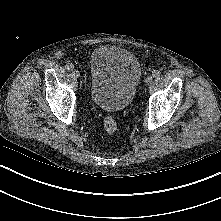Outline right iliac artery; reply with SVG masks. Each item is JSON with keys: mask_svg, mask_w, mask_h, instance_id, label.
I'll use <instances>...</instances> for the list:
<instances>
[{"mask_svg": "<svg viewBox=\"0 0 221 221\" xmlns=\"http://www.w3.org/2000/svg\"><path fill=\"white\" fill-rule=\"evenodd\" d=\"M65 68L68 70V71H72L74 69V65L72 63H68L66 64Z\"/></svg>", "mask_w": 221, "mask_h": 221, "instance_id": "82829eb1", "label": "right iliac artery"}]
</instances>
